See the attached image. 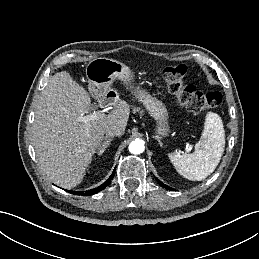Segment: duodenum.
Returning a JSON list of instances; mask_svg holds the SVG:
<instances>
[{"label":"duodenum","mask_w":259,"mask_h":259,"mask_svg":"<svg viewBox=\"0 0 259 259\" xmlns=\"http://www.w3.org/2000/svg\"><path fill=\"white\" fill-rule=\"evenodd\" d=\"M108 97V96H107ZM107 97L104 98L103 102H109Z\"/></svg>","instance_id":"obj_1"}]
</instances>
